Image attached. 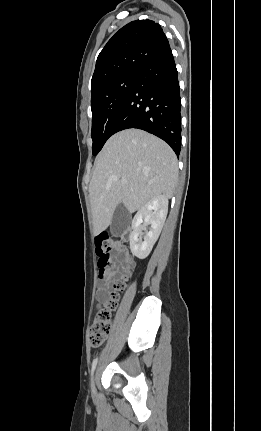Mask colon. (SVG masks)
Returning a JSON list of instances; mask_svg holds the SVG:
<instances>
[{
    "label": "colon",
    "instance_id": "5ec220e1",
    "mask_svg": "<svg viewBox=\"0 0 261 431\" xmlns=\"http://www.w3.org/2000/svg\"><path fill=\"white\" fill-rule=\"evenodd\" d=\"M95 244L96 253L99 258V273L102 274L103 270L113 262L118 251L122 248L118 241L109 237L107 234L98 235ZM121 269L123 272L127 270L124 266H121ZM124 285L125 276L123 274L121 278L114 281L110 300L106 303L105 307L100 309L95 315L88 331V341L92 347L101 346L109 335L112 325V310L116 307L119 292L124 288Z\"/></svg>",
    "mask_w": 261,
    "mask_h": 431
}]
</instances>
